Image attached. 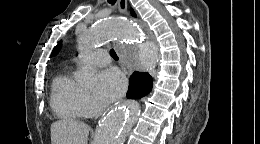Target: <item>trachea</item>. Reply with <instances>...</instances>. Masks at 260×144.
<instances>
[{"mask_svg": "<svg viewBox=\"0 0 260 144\" xmlns=\"http://www.w3.org/2000/svg\"><path fill=\"white\" fill-rule=\"evenodd\" d=\"M108 3L114 5L116 3V0H108ZM110 55L112 56L113 59L118 60V56H117L116 52L114 51V49L110 50Z\"/></svg>", "mask_w": 260, "mask_h": 144, "instance_id": "obj_1", "label": "trachea"}]
</instances>
